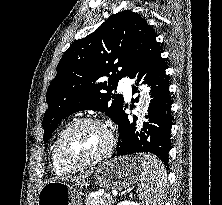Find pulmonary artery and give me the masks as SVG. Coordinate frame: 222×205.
Returning a JSON list of instances; mask_svg holds the SVG:
<instances>
[{
    "label": "pulmonary artery",
    "instance_id": "e3ab8cb5",
    "mask_svg": "<svg viewBox=\"0 0 222 205\" xmlns=\"http://www.w3.org/2000/svg\"><path fill=\"white\" fill-rule=\"evenodd\" d=\"M130 84L131 81L129 77H123L119 81V89L122 90L128 98L131 96Z\"/></svg>",
    "mask_w": 222,
    "mask_h": 205
}]
</instances>
